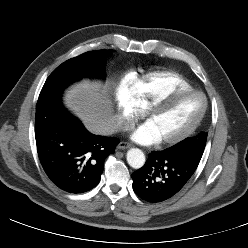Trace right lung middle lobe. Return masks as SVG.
<instances>
[{
    "label": "right lung middle lobe",
    "instance_id": "dd1d6c3e",
    "mask_svg": "<svg viewBox=\"0 0 248 248\" xmlns=\"http://www.w3.org/2000/svg\"><path fill=\"white\" fill-rule=\"evenodd\" d=\"M107 55L105 50H97L65 61L47 78L39 99L60 97L69 84L83 77H104V63Z\"/></svg>",
    "mask_w": 248,
    "mask_h": 248
}]
</instances>
